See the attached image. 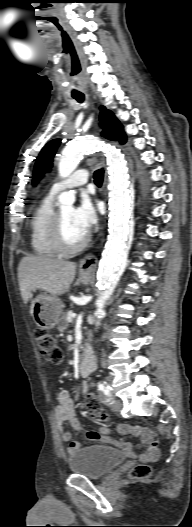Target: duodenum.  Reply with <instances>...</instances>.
Masks as SVG:
<instances>
[{"mask_svg": "<svg viewBox=\"0 0 192 527\" xmlns=\"http://www.w3.org/2000/svg\"><path fill=\"white\" fill-rule=\"evenodd\" d=\"M94 367H95V362H94V358L92 355V351L89 348H87L84 351L83 357L79 364V371H80L81 376L83 377L88 376L94 370Z\"/></svg>", "mask_w": 192, "mask_h": 527, "instance_id": "obj_1", "label": "duodenum"}]
</instances>
